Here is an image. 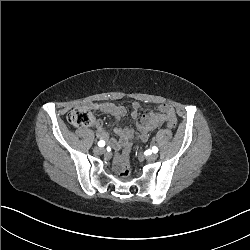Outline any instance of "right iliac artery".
<instances>
[{"label":"right iliac artery","mask_w":250,"mask_h":250,"mask_svg":"<svg viewBox=\"0 0 250 250\" xmlns=\"http://www.w3.org/2000/svg\"><path fill=\"white\" fill-rule=\"evenodd\" d=\"M98 146H99V147H104V146H105V141L100 140V141L98 142Z\"/></svg>","instance_id":"82829eb1"}]
</instances>
